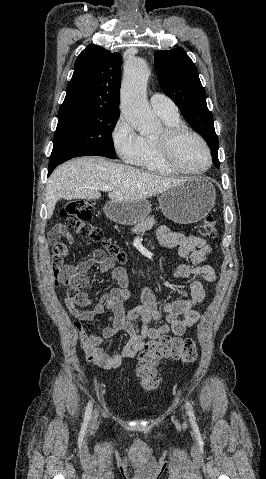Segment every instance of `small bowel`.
Segmentation results:
<instances>
[{"instance_id":"1","label":"small bowel","mask_w":266,"mask_h":479,"mask_svg":"<svg viewBox=\"0 0 266 479\" xmlns=\"http://www.w3.org/2000/svg\"><path fill=\"white\" fill-rule=\"evenodd\" d=\"M68 243H74L75 237L66 231L61 235ZM159 243L168 248L177 247L179 255L189 258L190 263H181L174 270V276L179 279L202 277L207 282L216 278L214 269L206 264L211 248L205 239L196 235L175 232L166 226L157 231ZM98 265L100 271L109 274L118 287L101 295L91 309L81 310L80 307L90 306L92 300L83 289L88 287L87 271ZM56 284L67 286L64 304L75 319V328L79 335L81 348L90 362L103 369L117 368L125 359L134 358L140 353L147 341L161 339L169 334L182 336L187 329L200 319V313L195 306L205 298V288L199 279H193L188 286L189 297L158 304L156 296L149 287L141 291L140 306L128 313L123 302L129 297L128 276L121 267H116L113 259L107 257L102 250H95L91 257L77 265L63 263V257L54 258ZM110 311L108 324L101 332H90V327L96 326V318L104 311ZM140 319L142 326L136 321ZM164 322L158 326H149L152 321ZM123 331L129 336L128 342L120 352L104 351V341L112 339Z\"/></svg>"}]
</instances>
